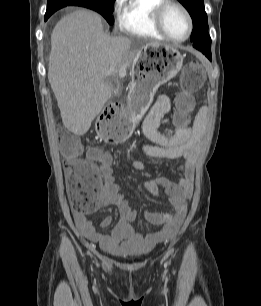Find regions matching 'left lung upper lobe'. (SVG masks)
<instances>
[{
	"instance_id": "obj_1",
	"label": "left lung upper lobe",
	"mask_w": 261,
	"mask_h": 306,
	"mask_svg": "<svg viewBox=\"0 0 261 306\" xmlns=\"http://www.w3.org/2000/svg\"><path fill=\"white\" fill-rule=\"evenodd\" d=\"M190 13L193 20L191 41L193 47L211 57V38L208 33L207 14L203 0H178Z\"/></svg>"
}]
</instances>
